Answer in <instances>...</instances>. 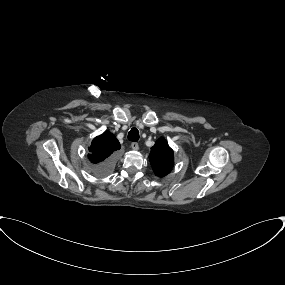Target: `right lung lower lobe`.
<instances>
[{"instance_id": "98d812e1", "label": "right lung lower lobe", "mask_w": 285, "mask_h": 285, "mask_svg": "<svg viewBox=\"0 0 285 285\" xmlns=\"http://www.w3.org/2000/svg\"><path fill=\"white\" fill-rule=\"evenodd\" d=\"M112 169H113V161L111 159H108L94 170V174L97 176H105L109 174L112 171Z\"/></svg>"}]
</instances>
